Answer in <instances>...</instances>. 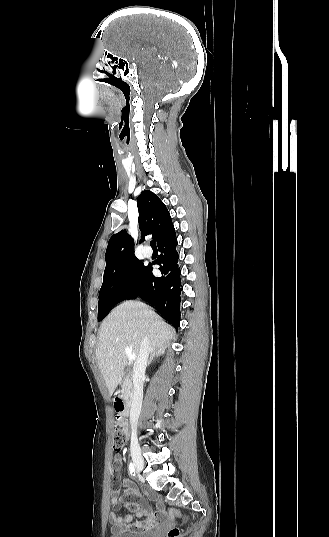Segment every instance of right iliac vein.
<instances>
[{
  "label": "right iliac vein",
  "instance_id": "1",
  "mask_svg": "<svg viewBox=\"0 0 329 537\" xmlns=\"http://www.w3.org/2000/svg\"><path fill=\"white\" fill-rule=\"evenodd\" d=\"M131 455L134 462V466L137 472H141L144 466V461L139 452V447L136 442L132 443Z\"/></svg>",
  "mask_w": 329,
  "mask_h": 537
}]
</instances>
